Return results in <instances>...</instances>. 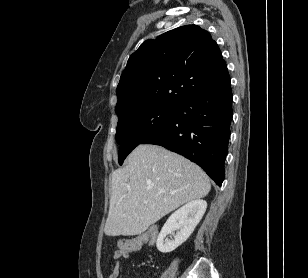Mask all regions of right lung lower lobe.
Returning <instances> with one entry per match:
<instances>
[{"label": "right lung lower lobe", "instance_id": "98d812e1", "mask_svg": "<svg viewBox=\"0 0 308 278\" xmlns=\"http://www.w3.org/2000/svg\"><path fill=\"white\" fill-rule=\"evenodd\" d=\"M231 80L178 105L177 117L141 144H156L195 162L221 186L228 152Z\"/></svg>", "mask_w": 308, "mask_h": 278}]
</instances>
